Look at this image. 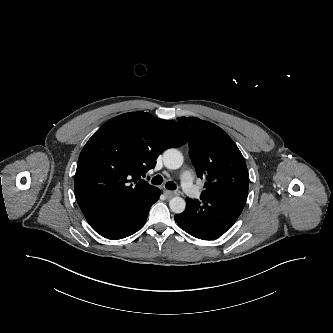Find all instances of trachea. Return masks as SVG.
Returning <instances> with one entry per match:
<instances>
[{
  "label": "trachea",
  "mask_w": 333,
  "mask_h": 333,
  "mask_svg": "<svg viewBox=\"0 0 333 333\" xmlns=\"http://www.w3.org/2000/svg\"><path fill=\"white\" fill-rule=\"evenodd\" d=\"M162 182H163V178L160 175L153 177L151 180V183L154 185H160V184H162ZM165 187L169 190H174V189H176V184L172 181H168L166 183Z\"/></svg>",
  "instance_id": "trachea-1"
}]
</instances>
